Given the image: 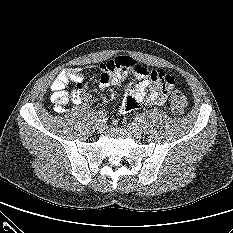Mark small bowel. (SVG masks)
Instances as JSON below:
<instances>
[{
  "label": "small bowel",
  "mask_w": 233,
  "mask_h": 233,
  "mask_svg": "<svg viewBox=\"0 0 233 233\" xmlns=\"http://www.w3.org/2000/svg\"><path fill=\"white\" fill-rule=\"evenodd\" d=\"M139 68H145L136 60L127 56L116 57L102 63L96 70L98 85L106 88L110 85L119 87L128 76L136 78V82L122 90V100L119 111L126 113L142 105H162L168 99L175 86V78L163 70H148V75L139 73ZM85 68H67L62 70L51 85V98L58 110L65 107L67 95L65 88L68 83H75L83 89ZM90 98L82 92L80 96L73 95V102H89Z\"/></svg>",
  "instance_id": "c3829d8e"
}]
</instances>
